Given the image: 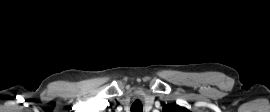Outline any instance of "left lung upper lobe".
<instances>
[{
	"instance_id": "left-lung-upper-lobe-1",
	"label": "left lung upper lobe",
	"mask_w": 270,
	"mask_h": 112,
	"mask_svg": "<svg viewBox=\"0 0 270 112\" xmlns=\"http://www.w3.org/2000/svg\"><path fill=\"white\" fill-rule=\"evenodd\" d=\"M163 112H191V111L177 105L168 104L163 107Z\"/></svg>"
}]
</instances>
